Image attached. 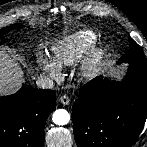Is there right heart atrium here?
Segmentation results:
<instances>
[{
  "label": "right heart atrium",
  "instance_id": "1",
  "mask_svg": "<svg viewBox=\"0 0 147 147\" xmlns=\"http://www.w3.org/2000/svg\"><path fill=\"white\" fill-rule=\"evenodd\" d=\"M39 65L53 79H59L62 76L61 66L53 59L40 57Z\"/></svg>",
  "mask_w": 147,
  "mask_h": 147
}]
</instances>
